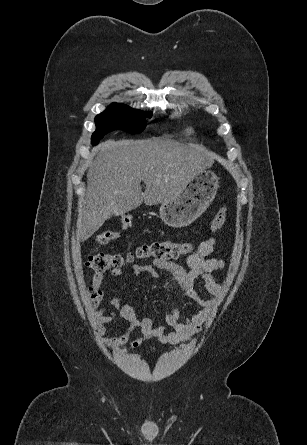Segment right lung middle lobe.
<instances>
[{"instance_id": "obj_1", "label": "right lung middle lobe", "mask_w": 307, "mask_h": 445, "mask_svg": "<svg viewBox=\"0 0 307 445\" xmlns=\"http://www.w3.org/2000/svg\"><path fill=\"white\" fill-rule=\"evenodd\" d=\"M152 113H143L129 106L112 103L104 112L95 117L96 131L92 135V144L96 145L110 131L122 130L131 134L141 133L146 127L145 117Z\"/></svg>"}]
</instances>
